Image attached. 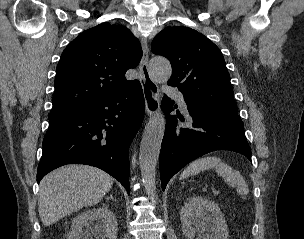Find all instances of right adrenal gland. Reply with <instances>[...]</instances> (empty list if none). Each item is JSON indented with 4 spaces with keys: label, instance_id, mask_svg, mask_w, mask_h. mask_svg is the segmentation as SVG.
I'll return each mask as SVG.
<instances>
[{
    "label": "right adrenal gland",
    "instance_id": "2a0ac1e0",
    "mask_svg": "<svg viewBox=\"0 0 304 239\" xmlns=\"http://www.w3.org/2000/svg\"><path fill=\"white\" fill-rule=\"evenodd\" d=\"M110 199H112V200H114V198H113V196L112 195H110V197H109Z\"/></svg>",
    "mask_w": 304,
    "mask_h": 239
}]
</instances>
